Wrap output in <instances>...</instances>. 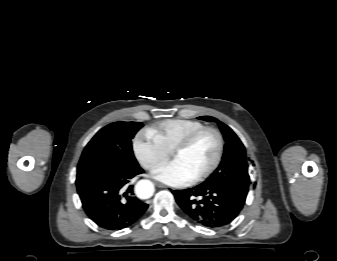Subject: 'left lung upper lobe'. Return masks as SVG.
Here are the masks:
<instances>
[{
  "label": "left lung upper lobe",
  "mask_w": 337,
  "mask_h": 261,
  "mask_svg": "<svg viewBox=\"0 0 337 261\" xmlns=\"http://www.w3.org/2000/svg\"><path fill=\"white\" fill-rule=\"evenodd\" d=\"M199 119L217 122L226 141L219 167L200 185L222 188L245 202L250 178L244 145L232 129L224 123L210 116L199 117Z\"/></svg>",
  "instance_id": "5c2ea615"
}]
</instances>
